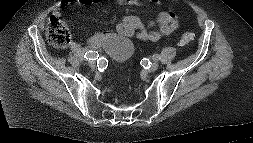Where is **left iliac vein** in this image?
Segmentation results:
<instances>
[{"label": "left iliac vein", "mask_w": 253, "mask_h": 143, "mask_svg": "<svg viewBox=\"0 0 253 143\" xmlns=\"http://www.w3.org/2000/svg\"><path fill=\"white\" fill-rule=\"evenodd\" d=\"M158 67H159L158 63H157V62H154V63H152V64L150 65V67L148 68V70H149L150 72H154V71H156V70L158 69Z\"/></svg>", "instance_id": "1"}]
</instances>
